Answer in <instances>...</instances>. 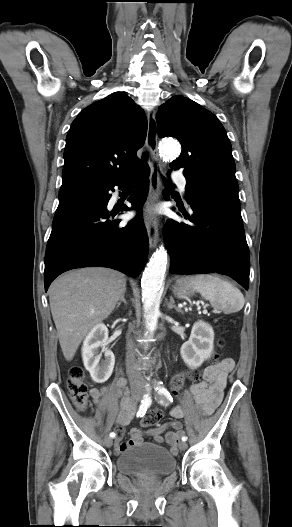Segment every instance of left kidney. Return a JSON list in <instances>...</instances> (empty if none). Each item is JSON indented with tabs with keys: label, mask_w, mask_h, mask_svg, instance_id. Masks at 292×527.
Masks as SVG:
<instances>
[{
	"label": "left kidney",
	"mask_w": 292,
	"mask_h": 527,
	"mask_svg": "<svg viewBox=\"0 0 292 527\" xmlns=\"http://www.w3.org/2000/svg\"><path fill=\"white\" fill-rule=\"evenodd\" d=\"M214 331L212 327L200 320L194 323L189 340L183 343L180 354L187 366L196 369L208 359L214 349Z\"/></svg>",
	"instance_id": "1"
}]
</instances>
